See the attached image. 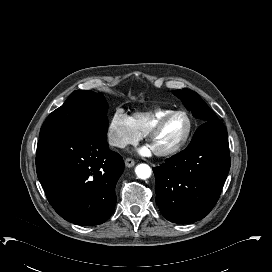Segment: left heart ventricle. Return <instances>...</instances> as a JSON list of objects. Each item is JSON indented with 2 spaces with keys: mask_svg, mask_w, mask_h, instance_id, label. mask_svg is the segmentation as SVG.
<instances>
[{
  "mask_svg": "<svg viewBox=\"0 0 272 272\" xmlns=\"http://www.w3.org/2000/svg\"><path fill=\"white\" fill-rule=\"evenodd\" d=\"M186 130L187 121L185 117L182 115L174 116L151 138L149 146L155 152L174 148L182 141Z\"/></svg>",
  "mask_w": 272,
  "mask_h": 272,
  "instance_id": "left-heart-ventricle-1",
  "label": "left heart ventricle"
}]
</instances>
